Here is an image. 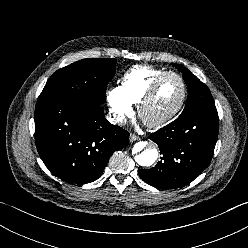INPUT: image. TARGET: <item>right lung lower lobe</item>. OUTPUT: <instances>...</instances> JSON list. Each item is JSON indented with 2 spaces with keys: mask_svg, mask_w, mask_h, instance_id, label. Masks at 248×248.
Segmentation results:
<instances>
[{
  "mask_svg": "<svg viewBox=\"0 0 248 248\" xmlns=\"http://www.w3.org/2000/svg\"><path fill=\"white\" fill-rule=\"evenodd\" d=\"M34 119L41 159L52 174L69 183L98 179L114 151L129 144V133L109 123L101 106L38 101Z\"/></svg>",
  "mask_w": 248,
  "mask_h": 248,
  "instance_id": "98d812e1",
  "label": "right lung lower lobe"
}]
</instances>
